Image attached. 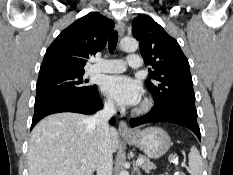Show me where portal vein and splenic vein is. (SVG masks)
I'll list each match as a JSON object with an SVG mask.
<instances>
[{
    "mask_svg": "<svg viewBox=\"0 0 233 175\" xmlns=\"http://www.w3.org/2000/svg\"><path fill=\"white\" fill-rule=\"evenodd\" d=\"M82 162L86 163V160H83ZM143 162H144V160L142 158H138L137 161H136V164L141 165V164H143Z\"/></svg>",
    "mask_w": 233,
    "mask_h": 175,
    "instance_id": "18ae733b",
    "label": "portal vein and splenic vein"
}]
</instances>
